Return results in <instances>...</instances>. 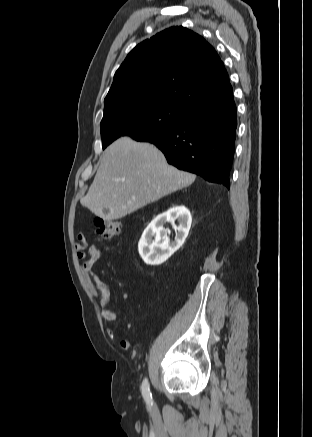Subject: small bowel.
<instances>
[{
  "instance_id": "obj_1",
  "label": "small bowel",
  "mask_w": 312,
  "mask_h": 437,
  "mask_svg": "<svg viewBox=\"0 0 312 437\" xmlns=\"http://www.w3.org/2000/svg\"><path fill=\"white\" fill-rule=\"evenodd\" d=\"M77 240L75 251L77 257L82 260L80 270L84 281L92 295L99 300L103 318L107 322H115L117 320V314L109 307L111 302V290L94 271L95 264L102 257V251L96 245L89 244L85 234L82 232L78 233ZM107 334L109 338L122 349L130 350L132 348L131 342L120 338L114 328L108 327Z\"/></svg>"
}]
</instances>
